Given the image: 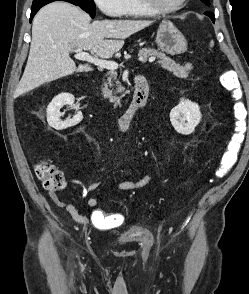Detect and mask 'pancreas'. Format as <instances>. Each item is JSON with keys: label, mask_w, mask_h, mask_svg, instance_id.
I'll use <instances>...</instances> for the list:
<instances>
[{"label": "pancreas", "mask_w": 249, "mask_h": 294, "mask_svg": "<svg viewBox=\"0 0 249 294\" xmlns=\"http://www.w3.org/2000/svg\"><path fill=\"white\" fill-rule=\"evenodd\" d=\"M138 55L140 57H157L159 59L157 63L160 64L163 69L179 78H187L192 69L190 63H186L184 66L176 64L174 60L155 49L143 48L139 51ZM107 75H109V77L107 78V82L103 85L102 92L104 97L109 98V100L114 103V106H117L120 104V100L116 97V94L122 92L123 87L117 80V74L114 71H110Z\"/></svg>", "instance_id": "obj_1"}]
</instances>
